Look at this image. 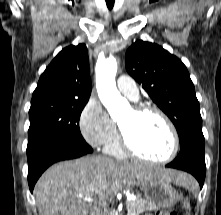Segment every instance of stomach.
Segmentation results:
<instances>
[{
    "instance_id": "obj_1",
    "label": "stomach",
    "mask_w": 221,
    "mask_h": 215,
    "mask_svg": "<svg viewBox=\"0 0 221 215\" xmlns=\"http://www.w3.org/2000/svg\"><path fill=\"white\" fill-rule=\"evenodd\" d=\"M142 190L145 200L157 208H170L180 199L170 182L157 177L144 180Z\"/></svg>"
}]
</instances>
